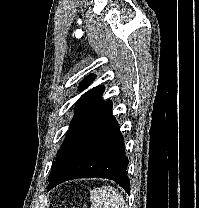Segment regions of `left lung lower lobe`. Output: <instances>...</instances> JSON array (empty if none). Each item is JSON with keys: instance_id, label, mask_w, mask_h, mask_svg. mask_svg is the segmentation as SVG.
<instances>
[{"instance_id": "left-lung-lower-lobe-1", "label": "left lung lower lobe", "mask_w": 199, "mask_h": 208, "mask_svg": "<svg viewBox=\"0 0 199 208\" xmlns=\"http://www.w3.org/2000/svg\"><path fill=\"white\" fill-rule=\"evenodd\" d=\"M124 139L107 101L85 119L61 146L48 190L71 179L108 178L130 192Z\"/></svg>"}]
</instances>
